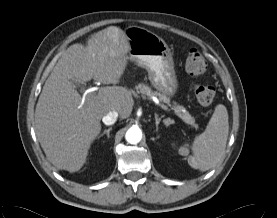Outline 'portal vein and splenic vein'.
I'll use <instances>...</instances> for the list:
<instances>
[{
  "label": "portal vein and splenic vein",
  "mask_w": 277,
  "mask_h": 218,
  "mask_svg": "<svg viewBox=\"0 0 277 218\" xmlns=\"http://www.w3.org/2000/svg\"><path fill=\"white\" fill-rule=\"evenodd\" d=\"M94 95H95V93H89V94H87L86 98H93ZM158 105H159L163 110L168 111V112H171V109H170L168 106H166V105H164V104H161V103H158Z\"/></svg>",
  "instance_id": "1"
}]
</instances>
